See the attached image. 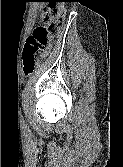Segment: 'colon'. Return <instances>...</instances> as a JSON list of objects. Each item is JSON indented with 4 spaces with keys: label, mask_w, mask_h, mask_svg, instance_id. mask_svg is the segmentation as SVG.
Returning <instances> with one entry per match:
<instances>
[{
    "label": "colon",
    "mask_w": 123,
    "mask_h": 167,
    "mask_svg": "<svg viewBox=\"0 0 123 167\" xmlns=\"http://www.w3.org/2000/svg\"><path fill=\"white\" fill-rule=\"evenodd\" d=\"M64 21V9L62 5L51 6L42 13V24L36 27L28 37L23 52V72L31 75L39 60L44 57L49 49L52 38L58 34Z\"/></svg>",
    "instance_id": "colon-1"
}]
</instances>
